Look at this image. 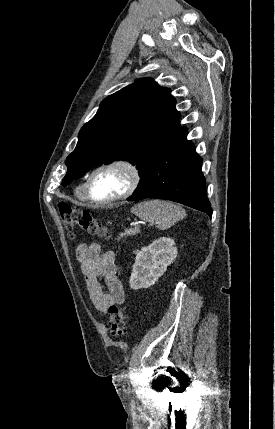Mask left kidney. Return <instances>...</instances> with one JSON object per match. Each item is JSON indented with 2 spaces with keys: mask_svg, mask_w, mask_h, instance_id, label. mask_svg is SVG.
<instances>
[{
  "mask_svg": "<svg viewBox=\"0 0 275 429\" xmlns=\"http://www.w3.org/2000/svg\"><path fill=\"white\" fill-rule=\"evenodd\" d=\"M174 245L173 239L163 237L139 251L129 281L131 289L149 288L155 284L177 257Z\"/></svg>",
  "mask_w": 275,
  "mask_h": 429,
  "instance_id": "obj_1",
  "label": "left kidney"
}]
</instances>
